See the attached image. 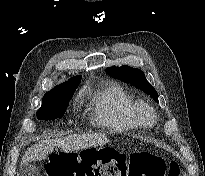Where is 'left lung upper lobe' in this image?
Segmentation results:
<instances>
[{"label":"left lung upper lobe","instance_id":"1","mask_svg":"<svg viewBox=\"0 0 205 176\" xmlns=\"http://www.w3.org/2000/svg\"><path fill=\"white\" fill-rule=\"evenodd\" d=\"M107 73L143 90L158 102V93L146 80L145 74L140 69L131 68L127 65L121 67H108Z\"/></svg>","mask_w":205,"mask_h":176}]
</instances>
